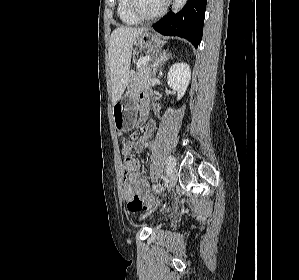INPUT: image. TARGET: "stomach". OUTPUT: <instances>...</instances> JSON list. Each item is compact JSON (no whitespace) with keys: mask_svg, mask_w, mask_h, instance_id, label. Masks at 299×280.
<instances>
[{"mask_svg":"<svg viewBox=\"0 0 299 280\" xmlns=\"http://www.w3.org/2000/svg\"><path fill=\"white\" fill-rule=\"evenodd\" d=\"M136 45L141 49H160L165 41L157 34L151 32L142 33L135 41ZM133 98L125 95L113 106L114 123L117 129L126 130L132 128L133 121Z\"/></svg>","mask_w":299,"mask_h":280,"instance_id":"1","label":"stomach"}]
</instances>
